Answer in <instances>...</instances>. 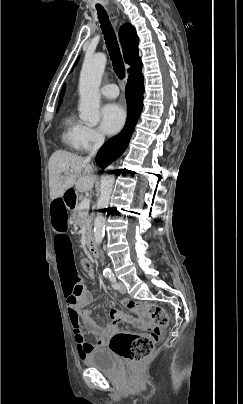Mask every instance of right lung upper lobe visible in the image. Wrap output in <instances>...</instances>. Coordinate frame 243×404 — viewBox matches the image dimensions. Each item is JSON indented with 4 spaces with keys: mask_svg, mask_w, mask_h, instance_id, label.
Instances as JSON below:
<instances>
[{
    "mask_svg": "<svg viewBox=\"0 0 243 404\" xmlns=\"http://www.w3.org/2000/svg\"><path fill=\"white\" fill-rule=\"evenodd\" d=\"M119 39L123 48L124 60L131 67L128 69L129 77L141 71L142 62L138 57V43L139 39L136 35L135 28L126 23L121 26L119 30ZM65 92V85L60 93L59 105L62 102V97Z\"/></svg>",
    "mask_w": 243,
    "mask_h": 404,
    "instance_id": "obj_1",
    "label": "right lung upper lobe"
}]
</instances>
